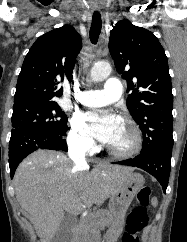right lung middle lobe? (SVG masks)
Returning a JSON list of instances; mask_svg holds the SVG:
<instances>
[{
    "instance_id": "right-lung-middle-lobe-1",
    "label": "right lung middle lobe",
    "mask_w": 187,
    "mask_h": 242,
    "mask_svg": "<svg viewBox=\"0 0 187 242\" xmlns=\"http://www.w3.org/2000/svg\"><path fill=\"white\" fill-rule=\"evenodd\" d=\"M67 116L57 103H28L13 107L12 132L37 131L65 135Z\"/></svg>"
}]
</instances>
